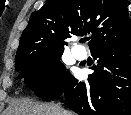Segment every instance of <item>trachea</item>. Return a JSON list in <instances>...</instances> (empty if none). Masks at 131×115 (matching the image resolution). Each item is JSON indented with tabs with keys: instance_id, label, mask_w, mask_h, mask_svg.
Listing matches in <instances>:
<instances>
[{
	"instance_id": "1",
	"label": "trachea",
	"mask_w": 131,
	"mask_h": 115,
	"mask_svg": "<svg viewBox=\"0 0 131 115\" xmlns=\"http://www.w3.org/2000/svg\"><path fill=\"white\" fill-rule=\"evenodd\" d=\"M87 40H89L88 38H84L81 40L82 43L86 42Z\"/></svg>"
}]
</instances>
